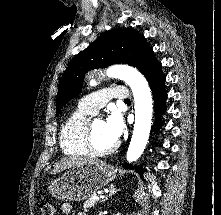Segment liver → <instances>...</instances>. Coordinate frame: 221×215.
<instances>
[{"label": "liver", "mask_w": 221, "mask_h": 215, "mask_svg": "<svg viewBox=\"0 0 221 215\" xmlns=\"http://www.w3.org/2000/svg\"><path fill=\"white\" fill-rule=\"evenodd\" d=\"M92 160L93 159L91 158H74V157L63 158L62 160H60L55 164L52 174L59 173L69 168L82 166Z\"/></svg>", "instance_id": "1"}]
</instances>
